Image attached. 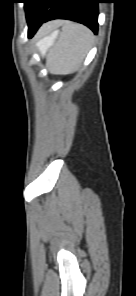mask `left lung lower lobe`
I'll return each instance as SVG.
<instances>
[{
	"mask_svg": "<svg viewBox=\"0 0 136 296\" xmlns=\"http://www.w3.org/2000/svg\"><path fill=\"white\" fill-rule=\"evenodd\" d=\"M98 3H102V0H53L44 17L28 27V38H32L42 23L53 19L82 23L97 34Z\"/></svg>",
	"mask_w": 136,
	"mask_h": 296,
	"instance_id": "obj_1",
	"label": "left lung lower lobe"
}]
</instances>
